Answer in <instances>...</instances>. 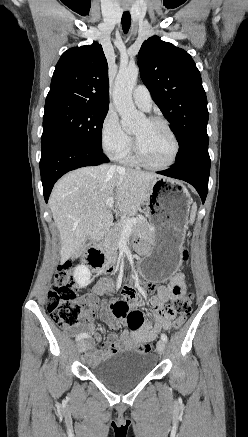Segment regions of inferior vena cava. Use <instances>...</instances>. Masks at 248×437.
I'll use <instances>...</instances> for the list:
<instances>
[{
  "label": "inferior vena cava",
  "instance_id": "1",
  "mask_svg": "<svg viewBox=\"0 0 248 437\" xmlns=\"http://www.w3.org/2000/svg\"><path fill=\"white\" fill-rule=\"evenodd\" d=\"M114 167H115V168H117V169H121V167H118V166H117V167H116V166H114Z\"/></svg>",
  "mask_w": 248,
  "mask_h": 437
}]
</instances>
